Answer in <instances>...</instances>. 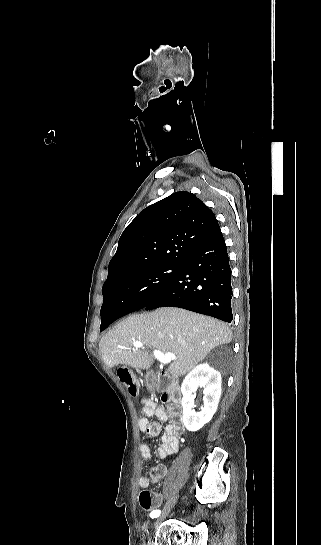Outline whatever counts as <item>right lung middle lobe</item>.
<instances>
[{"label":"right lung middle lobe","instance_id":"1","mask_svg":"<svg viewBox=\"0 0 321 545\" xmlns=\"http://www.w3.org/2000/svg\"><path fill=\"white\" fill-rule=\"evenodd\" d=\"M181 265H157L124 276L119 283L102 288L103 305L109 300L126 299L144 307L153 300L178 274ZM105 325L101 318L100 331Z\"/></svg>","mask_w":321,"mask_h":545}]
</instances>
